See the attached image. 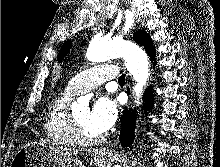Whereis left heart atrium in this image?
I'll return each instance as SVG.
<instances>
[{"label":"left heart atrium","mask_w":220,"mask_h":167,"mask_svg":"<svg viewBox=\"0 0 220 167\" xmlns=\"http://www.w3.org/2000/svg\"><path fill=\"white\" fill-rule=\"evenodd\" d=\"M118 115L117 104L111 96H102L96 100L89 111V125L99 134L108 131Z\"/></svg>","instance_id":"1"}]
</instances>
